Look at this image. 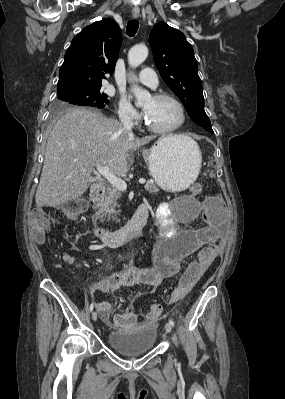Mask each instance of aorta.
<instances>
[{
  "instance_id": "obj_1",
  "label": "aorta",
  "mask_w": 285,
  "mask_h": 399,
  "mask_svg": "<svg viewBox=\"0 0 285 399\" xmlns=\"http://www.w3.org/2000/svg\"><path fill=\"white\" fill-rule=\"evenodd\" d=\"M148 56V48L144 44L133 46L128 52V63L132 68L138 67L145 61ZM132 92L136 97V104L142 106L146 101L151 98L148 91L142 89L138 85L132 86Z\"/></svg>"
}]
</instances>
